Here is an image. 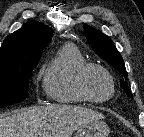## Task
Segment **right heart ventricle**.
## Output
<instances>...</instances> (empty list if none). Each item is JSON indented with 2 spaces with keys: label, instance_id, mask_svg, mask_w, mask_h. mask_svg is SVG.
<instances>
[{
  "label": "right heart ventricle",
  "instance_id": "obj_1",
  "mask_svg": "<svg viewBox=\"0 0 144 137\" xmlns=\"http://www.w3.org/2000/svg\"><path fill=\"white\" fill-rule=\"evenodd\" d=\"M86 64L88 62L77 46L63 45L43 71V87L48 97L61 104L86 102L77 89L78 73Z\"/></svg>",
  "mask_w": 144,
  "mask_h": 137
}]
</instances>
